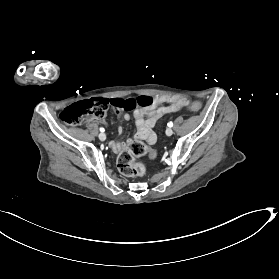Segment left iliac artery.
Returning a JSON list of instances; mask_svg holds the SVG:
<instances>
[{"instance_id":"obj_1","label":"left iliac artery","mask_w":279,"mask_h":279,"mask_svg":"<svg viewBox=\"0 0 279 279\" xmlns=\"http://www.w3.org/2000/svg\"><path fill=\"white\" fill-rule=\"evenodd\" d=\"M167 125H168V127H172V126H173V123H172V122H169Z\"/></svg>"}]
</instances>
